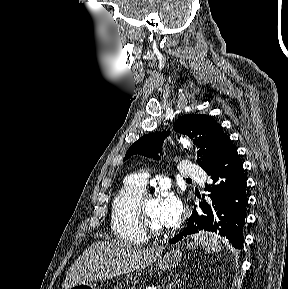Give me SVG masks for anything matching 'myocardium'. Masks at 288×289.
Wrapping results in <instances>:
<instances>
[{
    "mask_svg": "<svg viewBox=\"0 0 288 289\" xmlns=\"http://www.w3.org/2000/svg\"><path fill=\"white\" fill-rule=\"evenodd\" d=\"M149 199H157V196L144 191L135 201L133 206V221L135 227L142 233L153 236H161L165 230L156 228L145 216V203Z\"/></svg>",
    "mask_w": 288,
    "mask_h": 289,
    "instance_id": "f54148a6",
    "label": "myocardium"
}]
</instances>
